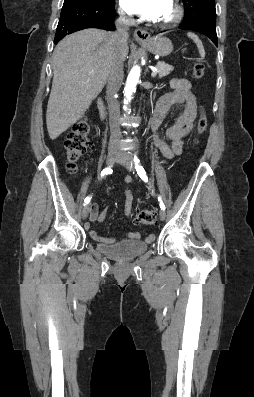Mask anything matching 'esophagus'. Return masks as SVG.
Instances as JSON below:
<instances>
[{
	"label": "esophagus",
	"mask_w": 254,
	"mask_h": 397,
	"mask_svg": "<svg viewBox=\"0 0 254 397\" xmlns=\"http://www.w3.org/2000/svg\"><path fill=\"white\" fill-rule=\"evenodd\" d=\"M134 37L138 43H147L150 41V33L142 28L135 30Z\"/></svg>",
	"instance_id": "esophagus-1"
}]
</instances>
